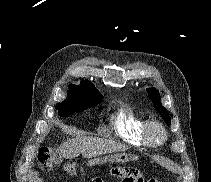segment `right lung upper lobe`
Returning a JSON list of instances; mask_svg holds the SVG:
<instances>
[{
    "label": "right lung upper lobe",
    "instance_id": "obj_1",
    "mask_svg": "<svg viewBox=\"0 0 211 182\" xmlns=\"http://www.w3.org/2000/svg\"><path fill=\"white\" fill-rule=\"evenodd\" d=\"M72 85H74V84H72ZM75 86H77V85H75ZM78 87H80L82 89H85L87 91H91V92H93L95 94L101 95L99 93V91L95 88V86L93 85V83H91L88 80H82L80 86H78Z\"/></svg>",
    "mask_w": 211,
    "mask_h": 182
}]
</instances>
